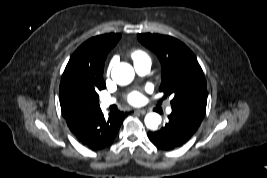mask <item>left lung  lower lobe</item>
Returning <instances> with one entry per match:
<instances>
[{
	"label": "left lung lower lobe",
	"instance_id": "0a47b994",
	"mask_svg": "<svg viewBox=\"0 0 267 178\" xmlns=\"http://www.w3.org/2000/svg\"><path fill=\"white\" fill-rule=\"evenodd\" d=\"M200 125L178 111H172L163 128L148 132L151 142L158 148L172 150L184 145Z\"/></svg>",
	"mask_w": 267,
	"mask_h": 178
}]
</instances>
